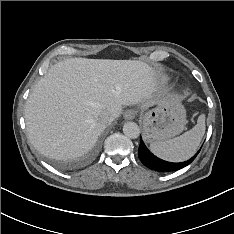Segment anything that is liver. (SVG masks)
Returning a JSON list of instances; mask_svg holds the SVG:
<instances>
[{"mask_svg": "<svg viewBox=\"0 0 234 234\" xmlns=\"http://www.w3.org/2000/svg\"><path fill=\"white\" fill-rule=\"evenodd\" d=\"M156 71L138 60L71 58L53 65L25 105L29 140L44 156L69 159L88 152L107 125L104 112L153 104Z\"/></svg>", "mask_w": 234, "mask_h": 234, "instance_id": "liver-1", "label": "liver"}]
</instances>
